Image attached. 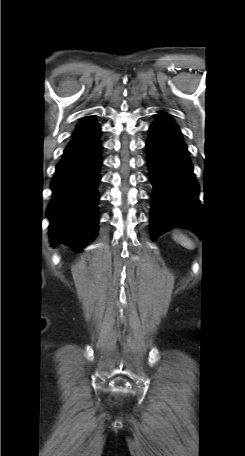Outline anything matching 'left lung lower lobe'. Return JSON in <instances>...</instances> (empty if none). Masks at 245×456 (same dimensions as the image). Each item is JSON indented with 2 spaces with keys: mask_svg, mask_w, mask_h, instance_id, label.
<instances>
[{
  "mask_svg": "<svg viewBox=\"0 0 245 456\" xmlns=\"http://www.w3.org/2000/svg\"><path fill=\"white\" fill-rule=\"evenodd\" d=\"M146 148L149 178L153 185L152 239L173 227L198 232L199 185L181 132L167 113L158 114L150 125Z\"/></svg>",
  "mask_w": 245,
  "mask_h": 456,
  "instance_id": "obj_1",
  "label": "left lung lower lobe"
}]
</instances>
